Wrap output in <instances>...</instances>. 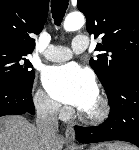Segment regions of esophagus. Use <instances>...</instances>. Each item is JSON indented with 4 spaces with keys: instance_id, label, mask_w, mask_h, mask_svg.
I'll return each instance as SVG.
<instances>
[{
    "instance_id": "esophagus-1",
    "label": "esophagus",
    "mask_w": 139,
    "mask_h": 150,
    "mask_svg": "<svg viewBox=\"0 0 139 150\" xmlns=\"http://www.w3.org/2000/svg\"><path fill=\"white\" fill-rule=\"evenodd\" d=\"M66 140L70 143H74L75 141V132L72 125H68L65 130Z\"/></svg>"
}]
</instances>
